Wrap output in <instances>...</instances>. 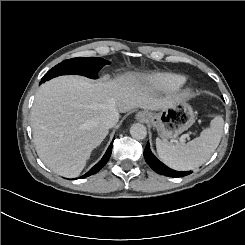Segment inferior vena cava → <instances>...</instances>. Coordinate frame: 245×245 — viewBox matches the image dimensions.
<instances>
[{
	"mask_svg": "<svg viewBox=\"0 0 245 245\" xmlns=\"http://www.w3.org/2000/svg\"><path fill=\"white\" fill-rule=\"evenodd\" d=\"M118 113L114 110L104 111L99 117V124L107 129L113 128L118 122Z\"/></svg>",
	"mask_w": 245,
	"mask_h": 245,
	"instance_id": "602c4592",
	"label": "inferior vena cava"
}]
</instances>
